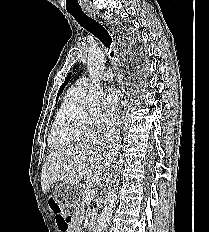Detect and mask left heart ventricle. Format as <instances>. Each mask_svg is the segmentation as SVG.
Here are the masks:
<instances>
[{
	"mask_svg": "<svg viewBox=\"0 0 209 232\" xmlns=\"http://www.w3.org/2000/svg\"><path fill=\"white\" fill-rule=\"evenodd\" d=\"M92 116H93V114L88 115V117H92Z\"/></svg>",
	"mask_w": 209,
	"mask_h": 232,
	"instance_id": "left-heart-ventricle-1",
	"label": "left heart ventricle"
}]
</instances>
